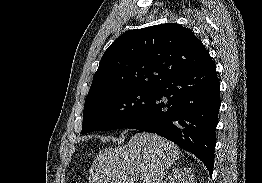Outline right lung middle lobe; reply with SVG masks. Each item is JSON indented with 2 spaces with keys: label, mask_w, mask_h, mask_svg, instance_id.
<instances>
[{
  "label": "right lung middle lobe",
  "mask_w": 262,
  "mask_h": 183,
  "mask_svg": "<svg viewBox=\"0 0 262 183\" xmlns=\"http://www.w3.org/2000/svg\"><path fill=\"white\" fill-rule=\"evenodd\" d=\"M155 95L156 88H131L85 101L81 134L126 128Z\"/></svg>",
  "instance_id": "obj_1"
}]
</instances>
